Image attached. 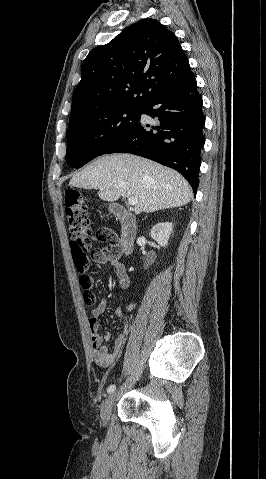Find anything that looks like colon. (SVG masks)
I'll return each instance as SVG.
<instances>
[{"label":"colon","instance_id":"1","mask_svg":"<svg viewBox=\"0 0 266 479\" xmlns=\"http://www.w3.org/2000/svg\"><path fill=\"white\" fill-rule=\"evenodd\" d=\"M64 208L71 238L70 246L73 261L79 274L83 299L87 305H93L96 301L93 279L86 274L88 252L92 248L93 242H107L112 247L116 246L117 236L107 227L99 228L94 235L90 233L87 202L78 191L69 190L66 192Z\"/></svg>","mask_w":266,"mask_h":479}]
</instances>
